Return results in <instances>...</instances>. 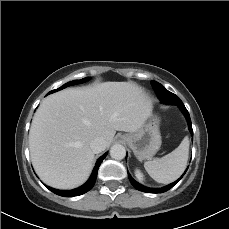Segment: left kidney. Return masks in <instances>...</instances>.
Instances as JSON below:
<instances>
[{"label": "left kidney", "instance_id": "5707ae66", "mask_svg": "<svg viewBox=\"0 0 229 229\" xmlns=\"http://www.w3.org/2000/svg\"><path fill=\"white\" fill-rule=\"evenodd\" d=\"M135 175H136V177L139 179V180H143L144 178V176H143V174L141 173V171L140 170H136L135 171Z\"/></svg>", "mask_w": 229, "mask_h": 229}]
</instances>
